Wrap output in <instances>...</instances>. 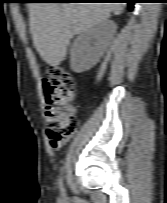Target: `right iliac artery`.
Masks as SVG:
<instances>
[{"label":"right iliac artery","mask_w":167,"mask_h":203,"mask_svg":"<svg viewBox=\"0 0 167 203\" xmlns=\"http://www.w3.org/2000/svg\"><path fill=\"white\" fill-rule=\"evenodd\" d=\"M59 187H60L61 191H64L61 177L59 178Z\"/></svg>","instance_id":"obj_1"}]
</instances>
